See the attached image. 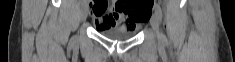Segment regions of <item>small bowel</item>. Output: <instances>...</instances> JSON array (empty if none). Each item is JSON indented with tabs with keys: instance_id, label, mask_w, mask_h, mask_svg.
Here are the masks:
<instances>
[{
	"instance_id": "1",
	"label": "small bowel",
	"mask_w": 235,
	"mask_h": 62,
	"mask_svg": "<svg viewBox=\"0 0 235 62\" xmlns=\"http://www.w3.org/2000/svg\"><path fill=\"white\" fill-rule=\"evenodd\" d=\"M91 18L98 29H109V28H124V29H135L137 24L134 25L127 15L120 8V5L116 2L112 3L109 9L105 5L104 9H98L96 6L92 8Z\"/></svg>"
}]
</instances>
